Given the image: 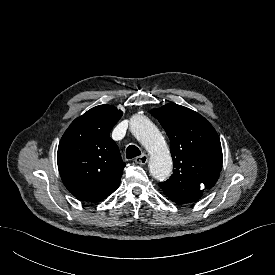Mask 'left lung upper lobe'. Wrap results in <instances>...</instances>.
I'll use <instances>...</instances> for the list:
<instances>
[{"mask_svg":"<svg viewBox=\"0 0 275 275\" xmlns=\"http://www.w3.org/2000/svg\"><path fill=\"white\" fill-rule=\"evenodd\" d=\"M171 141L173 174L159 186L176 203L199 200L217 182L222 168L220 139L213 126L197 112L170 103L152 109Z\"/></svg>","mask_w":275,"mask_h":275,"instance_id":"5c2ea615","label":"left lung upper lobe"}]
</instances>
